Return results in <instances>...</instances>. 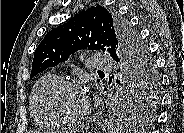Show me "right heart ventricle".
Masks as SVG:
<instances>
[{
    "mask_svg": "<svg viewBox=\"0 0 184 133\" xmlns=\"http://www.w3.org/2000/svg\"><path fill=\"white\" fill-rule=\"evenodd\" d=\"M60 80L59 75L48 73L42 76L33 87L30 98L31 113L34 120L41 126L52 127L56 125V122L47 112L45 99L50 88Z\"/></svg>",
    "mask_w": 184,
    "mask_h": 133,
    "instance_id": "e07e8e85",
    "label": "right heart ventricle"
}]
</instances>
